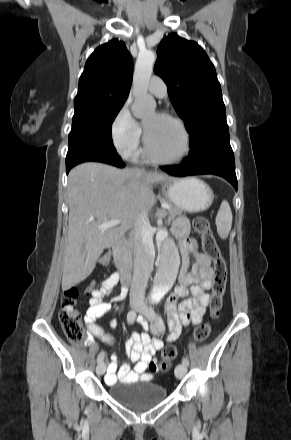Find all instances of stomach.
I'll return each mask as SVG.
<instances>
[{
  "mask_svg": "<svg viewBox=\"0 0 291 440\" xmlns=\"http://www.w3.org/2000/svg\"><path fill=\"white\" fill-rule=\"evenodd\" d=\"M162 192L169 203L191 213L208 209L214 200L210 186L196 177L165 181Z\"/></svg>",
  "mask_w": 291,
  "mask_h": 440,
  "instance_id": "obj_1",
  "label": "stomach"
}]
</instances>
